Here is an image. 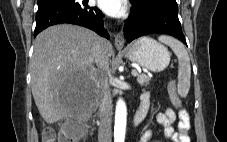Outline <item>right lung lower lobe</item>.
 <instances>
[{
  "label": "right lung lower lobe",
  "mask_w": 227,
  "mask_h": 142,
  "mask_svg": "<svg viewBox=\"0 0 227 142\" xmlns=\"http://www.w3.org/2000/svg\"><path fill=\"white\" fill-rule=\"evenodd\" d=\"M103 13L96 7L88 6V1L67 0L39 7L36 13L34 37L43 29L60 23H70L87 27L109 39L104 28Z\"/></svg>",
  "instance_id": "98d812e1"
}]
</instances>
